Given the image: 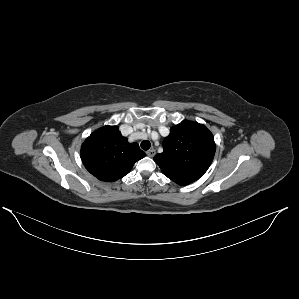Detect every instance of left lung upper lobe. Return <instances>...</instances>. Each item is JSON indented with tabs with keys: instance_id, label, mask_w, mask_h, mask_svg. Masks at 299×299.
I'll return each mask as SVG.
<instances>
[{
	"instance_id": "1",
	"label": "left lung upper lobe",
	"mask_w": 299,
	"mask_h": 299,
	"mask_svg": "<svg viewBox=\"0 0 299 299\" xmlns=\"http://www.w3.org/2000/svg\"><path fill=\"white\" fill-rule=\"evenodd\" d=\"M163 148V153L157 154L154 161L169 179L179 185H188L207 171L216 146L206 126L184 120L171 128Z\"/></svg>"
}]
</instances>
